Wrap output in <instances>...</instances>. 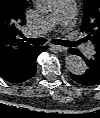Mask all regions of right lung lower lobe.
<instances>
[{"instance_id":"obj_1","label":"right lung lower lobe","mask_w":100,"mask_h":118,"mask_svg":"<svg viewBox=\"0 0 100 118\" xmlns=\"http://www.w3.org/2000/svg\"><path fill=\"white\" fill-rule=\"evenodd\" d=\"M46 50L45 46L32 47L24 52L16 62L0 68V76L10 83H22L32 78L36 73V58Z\"/></svg>"}]
</instances>
